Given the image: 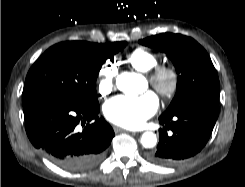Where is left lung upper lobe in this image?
Returning a JSON list of instances; mask_svg holds the SVG:
<instances>
[{
	"label": "left lung upper lobe",
	"mask_w": 245,
	"mask_h": 187,
	"mask_svg": "<svg viewBox=\"0 0 245 187\" xmlns=\"http://www.w3.org/2000/svg\"><path fill=\"white\" fill-rule=\"evenodd\" d=\"M139 43L165 52L176 68V94L162 116L201 101L219 99V79L214 65L206 50L194 39L163 33L139 40Z\"/></svg>",
	"instance_id": "left-lung-upper-lobe-1"
}]
</instances>
